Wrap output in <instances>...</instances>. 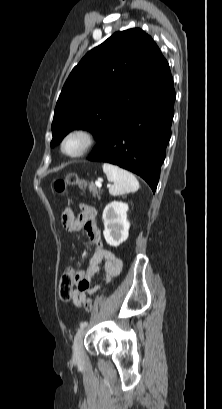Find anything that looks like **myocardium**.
<instances>
[{
    "mask_svg": "<svg viewBox=\"0 0 222 409\" xmlns=\"http://www.w3.org/2000/svg\"><path fill=\"white\" fill-rule=\"evenodd\" d=\"M73 137H80L82 139V145L78 150L69 152L66 149V144ZM95 143V132L88 127L79 126L74 127L65 133L60 143V149L65 156L69 158H78L85 155L95 145Z\"/></svg>",
    "mask_w": 222,
    "mask_h": 409,
    "instance_id": "obj_1",
    "label": "myocardium"
}]
</instances>
